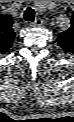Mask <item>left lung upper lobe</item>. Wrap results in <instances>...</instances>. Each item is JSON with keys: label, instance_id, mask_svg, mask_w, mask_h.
<instances>
[{"label": "left lung upper lobe", "instance_id": "1", "mask_svg": "<svg viewBox=\"0 0 74 122\" xmlns=\"http://www.w3.org/2000/svg\"><path fill=\"white\" fill-rule=\"evenodd\" d=\"M57 41L65 52H74V15L71 20V27L61 33Z\"/></svg>", "mask_w": 74, "mask_h": 122}]
</instances>
